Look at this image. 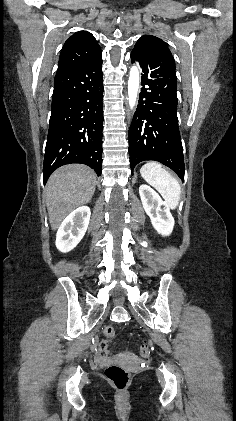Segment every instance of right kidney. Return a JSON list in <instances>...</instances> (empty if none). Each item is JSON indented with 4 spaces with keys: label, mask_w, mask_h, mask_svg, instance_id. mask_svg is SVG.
I'll use <instances>...</instances> for the list:
<instances>
[{
    "label": "right kidney",
    "mask_w": 236,
    "mask_h": 421,
    "mask_svg": "<svg viewBox=\"0 0 236 421\" xmlns=\"http://www.w3.org/2000/svg\"><path fill=\"white\" fill-rule=\"evenodd\" d=\"M90 215L89 206H78L64 219L57 231L55 241L61 253L72 251L80 243L88 229Z\"/></svg>",
    "instance_id": "right-kidney-1"
}]
</instances>
